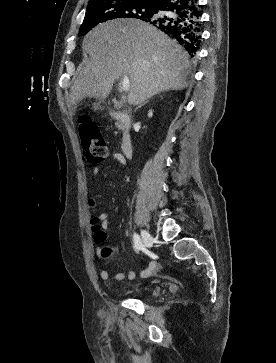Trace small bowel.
Instances as JSON below:
<instances>
[{"label":"small bowel","mask_w":276,"mask_h":363,"mask_svg":"<svg viewBox=\"0 0 276 363\" xmlns=\"http://www.w3.org/2000/svg\"><path fill=\"white\" fill-rule=\"evenodd\" d=\"M116 157V155H114ZM100 173V169L98 167H94L92 169V174L97 177ZM98 224L101 228L106 229L108 227V215L105 212H100L97 215ZM97 253L99 258H102L101 248L97 249ZM158 269V263L155 260H152L149 266L146 269H143L139 272V276L141 278H147L151 276L156 270ZM100 278L102 280H109L110 279V272L108 269H102L99 273ZM136 278V273L132 270H129L126 273L117 272L114 274L113 279L116 281H124L125 279L134 280Z\"/></svg>","instance_id":"c3829d8e"}]
</instances>
